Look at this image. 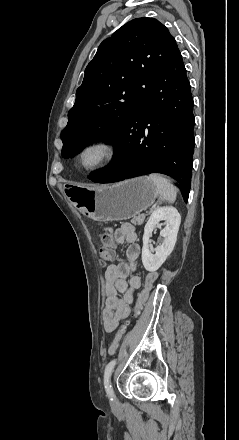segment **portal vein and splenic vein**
<instances>
[{
  "label": "portal vein and splenic vein",
  "instance_id": "obj_1",
  "mask_svg": "<svg viewBox=\"0 0 239 440\" xmlns=\"http://www.w3.org/2000/svg\"><path fill=\"white\" fill-rule=\"evenodd\" d=\"M160 202V199H157V201L155 202V204H153L151 207H150V211H154V209H156V208H159V203Z\"/></svg>",
  "mask_w": 239,
  "mask_h": 440
}]
</instances>
